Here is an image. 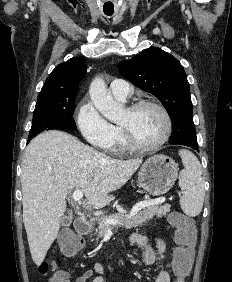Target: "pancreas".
<instances>
[{
    "instance_id": "1",
    "label": "pancreas",
    "mask_w": 232,
    "mask_h": 282,
    "mask_svg": "<svg viewBox=\"0 0 232 282\" xmlns=\"http://www.w3.org/2000/svg\"><path fill=\"white\" fill-rule=\"evenodd\" d=\"M168 212H170L169 204L146 207L134 216H129L123 213H114L110 215L108 219H117L119 222L117 224H108L105 221H98L96 232L98 233V237L101 238L104 236L108 229L119 227L130 229L132 227H138L153 219L154 216H156L157 218H162L163 216H166Z\"/></svg>"
}]
</instances>
